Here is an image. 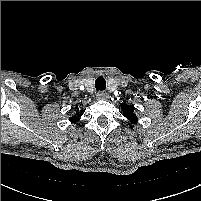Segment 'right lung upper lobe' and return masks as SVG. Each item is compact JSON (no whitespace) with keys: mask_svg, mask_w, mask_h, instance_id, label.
Segmentation results:
<instances>
[{"mask_svg":"<svg viewBox=\"0 0 201 201\" xmlns=\"http://www.w3.org/2000/svg\"><path fill=\"white\" fill-rule=\"evenodd\" d=\"M80 117H81V115L76 114V115L70 117V121L73 122V123H75V122H77L80 119Z\"/></svg>","mask_w":201,"mask_h":201,"instance_id":"cb5924a9","label":"right lung upper lobe"}]
</instances>
